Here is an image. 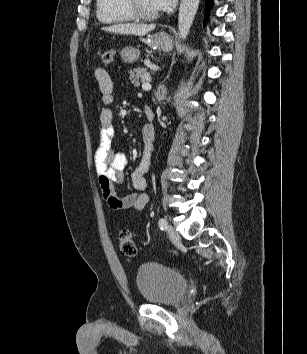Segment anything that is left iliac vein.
<instances>
[{"mask_svg":"<svg viewBox=\"0 0 307 354\" xmlns=\"http://www.w3.org/2000/svg\"><path fill=\"white\" fill-rule=\"evenodd\" d=\"M167 234L174 243H178L180 241L178 232L170 225L167 227Z\"/></svg>","mask_w":307,"mask_h":354,"instance_id":"left-iliac-vein-1","label":"left iliac vein"}]
</instances>
